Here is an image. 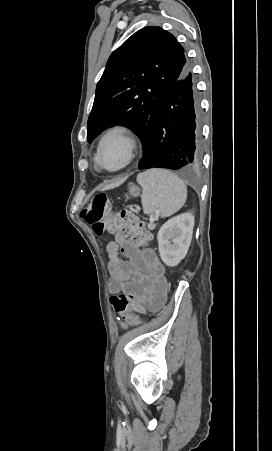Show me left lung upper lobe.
Here are the masks:
<instances>
[{
  "mask_svg": "<svg viewBox=\"0 0 272 451\" xmlns=\"http://www.w3.org/2000/svg\"><path fill=\"white\" fill-rule=\"evenodd\" d=\"M186 67L184 50L160 27H145L114 51L96 88L87 140L105 127L125 124L144 141L145 152L163 102Z\"/></svg>",
  "mask_w": 272,
  "mask_h": 451,
  "instance_id": "left-lung-upper-lobe-1",
  "label": "left lung upper lobe"
}]
</instances>
